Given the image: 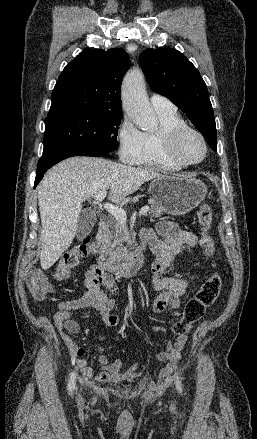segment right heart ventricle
<instances>
[{"instance_id": "obj_1", "label": "right heart ventricle", "mask_w": 257, "mask_h": 439, "mask_svg": "<svg viewBox=\"0 0 257 439\" xmlns=\"http://www.w3.org/2000/svg\"><path fill=\"white\" fill-rule=\"evenodd\" d=\"M156 112L159 119V128L155 131L142 133L143 149L133 164L155 167L170 172L178 171L180 167L168 159L163 145V138L169 130L186 123L176 111Z\"/></svg>"}]
</instances>
